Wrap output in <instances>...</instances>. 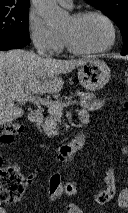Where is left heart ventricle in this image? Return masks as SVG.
Here are the masks:
<instances>
[{
  "instance_id": "b2bd125f",
  "label": "left heart ventricle",
  "mask_w": 128,
  "mask_h": 213,
  "mask_svg": "<svg viewBox=\"0 0 128 213\" xmlns=\"http://www.w3.org/2000/svg\"><path fill=\"white\" fill-rule=\"evenodd\" d=\"M63 32L71 34L75 43L86 50L103 48L111 38L108 24L97 16H88L77 22L70 18Z\"/></svg>"
}]
</instances>
